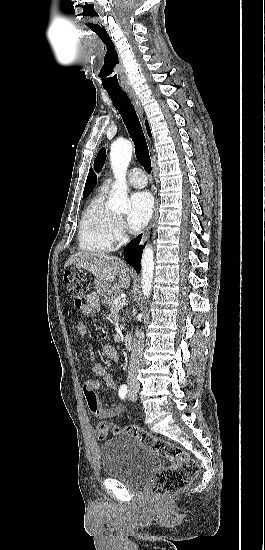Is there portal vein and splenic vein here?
Listing matches in <instances>:
<instances>
[{
  "label": "portal vein and splenic vein",
  "instance_id": "18ae733b",
  "mask_svg": "<svg viewBox=\"0 0 265 550\" xmlns=\"http://www.w3.org/2000/svg\"><path fill=\"white\" fill-rule=\"evenodd\" d=\"M126 303V300L122 297H116L113 301V306L115 307H121L123 305H125Z\"/></svg>",
  "mask_w": 265,
  "mask_h": 550
}]
</instances>
